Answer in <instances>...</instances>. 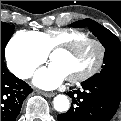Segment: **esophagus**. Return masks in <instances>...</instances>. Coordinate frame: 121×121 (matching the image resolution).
I'll return each instance as SVG.
<instances>
[{
	"label": "esophagus",
	"mask_w": 121,
	"mask_h": 121,
	"mask_svg": "<svg viewBox=\"0 0 121 121\" xmlns=\"http://www.w3.org/2000/svg\"><path fill=\"white\" fill-rule=\"evenodd\" d=\"M45 97H53L55 93L53 92H41Z\"/></svg>",
	"instance_id": "34e87169"
}]
</instances>
